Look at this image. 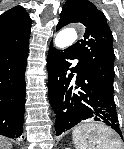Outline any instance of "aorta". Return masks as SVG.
<instances>
[{
	"instance_id": "obj_1",
	"label": "aorta",
	"mask_w": 124,
	"mask_h": 149,
	"mask_svg": "<svg viewBox=\"0 0 124 149\" xmlns=\"http://www.w3.org/2000/svg\"><path fill=\"white\" fill-rule=\"evenodd\" d=\"M77 40V32L73 28H64L55 37V44L59 48L72 45Z\"/></svg>"
}]
</instances>
